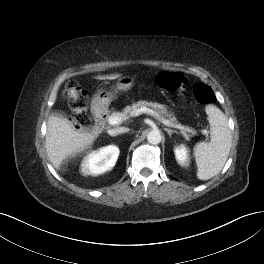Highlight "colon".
<instances>
[{
  "instance_id": "colon-1",
  "label": "colon",
  "mask_w": 264,
  "mask_h": 264,
  "mask_svg": "<svg viewBox=\"0 0 264 264\" xmlns=\"http://www.w3.org/2000/svg\"><path fill=\"white\" fill-rule=\"evenodd\" d=\"M157 84L167 91L182 92L187 87V79L181 73L162 72L157 76ZM66 95L70 100L73 110V121L78 129L89 125L90 120L87 115L88 99L87 94L77 84L71 83L66 88ZM195 100L202 104L214 101L212 89L203 84L197 83L193 87Z\"/></svg>"
}]
</instances>
